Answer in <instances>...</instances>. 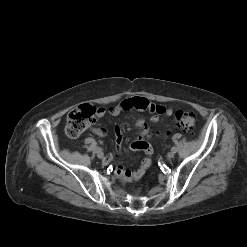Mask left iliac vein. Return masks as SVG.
I'll return each mask as SVG.
<instances>
[{
	"label": "left iliac vein",
	"instance_id": "left-iliac-vein-1",
	"mask_svg": "<svg viewBox=\"0 0 247 247\" xmlns=\"http://www.w3.org/2000/svg\"><path fill=\"white\" fill-rule=\"evenodd\" d=\"M174 155H175V152L170 151V152L167 154V158H168V159H172V158L174 157Z\"/></svg>",
	"mask_w": 247,
	"mask_h": 247
}]
</instances>
